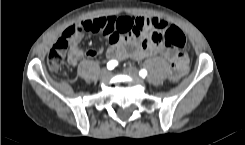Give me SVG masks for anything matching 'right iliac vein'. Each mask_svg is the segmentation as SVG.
<instances>
[{"mask_svg":"<svg viewBox=\"0 0 245 145\" xmlns=\"http://www.w3.org/2000/svg\"><path fill=\"white\" fill-rule=\"evenodd\" d=\"M109 74V70L107 68H104L100 71L99 77L100 78H106Z\"/></svg>","mask_w":245,"mask_h":145,"instance_id":"right-iliac-vein-1","label":"right iliac vein"}]
</instances>
